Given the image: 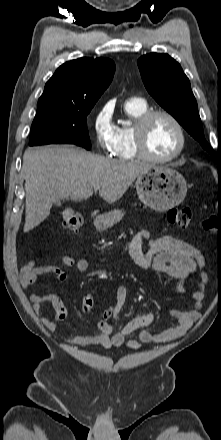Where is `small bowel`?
<instances>
[{"label": "small bowel", "instance_id": "obj_1", "mask_svg": "<svg viewBox=\"0 0 221 440\" xmlns=\"http://www.w3.org/2000/svg\"><path fill=\"white\" fill-rule=\"evenodd\" d=\"M146 240H148L147 252L144 251ZM123 254L128 256L138 267L151 269L178 279L177 290L179 293H184L189 279L197 276L198 287L193 292V309L190 311L169 310V314L177 320V325L161 332L145 330V327L154 319V315L149 313L133 318L121 331L113 333V323L125 306L130 294L128 286L120 285L116 290V303L110 308L113 310V317L108 320L105 318L99 320L97 323L98 333L95 335L65 336L64 340L67 343L81 347L101 345L105 348L126 347L136 350L145 343H166L180 338L201 317V308L206 299L209 276L203 269L204 259L198 249L179 238L167 235L149 240L148 231L141 229L126 243ZM61 263L76 273H84L89 268L88 260L74 259L69 255H63ZM47 274L53 275L57 282H62L67 277L66 272L56 265L36 266V261L32 260L21 269L20 279L23 289L28 292L36 315L41 317L42 323L47 329L56 331L57 323L64 321L68 315L63 300L55 293L40 295L30 292V287L38 283L41 276ZM45 303L51 304L54 309L52 318L42 315V305ZM133 333H137V339L130 337Z\"/></svg>", "mask_w": 221, "mask_h": 440}]
</instances>
